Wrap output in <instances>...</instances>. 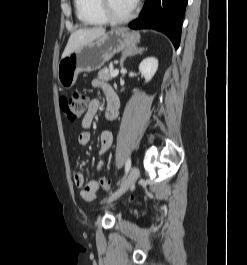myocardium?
I'll return each mask as SVG.
<instances>
[{
  "mask_svg": "<svg viewBox=\"0 0 247 265\" xmlns=\"http://www.w3.org/2000/svg\"><path fill=\"white\" fill-rule=\"evenodd\" d=\"M99 7L108 22L123 24L131 21L137 14L138 4L135 3L130 13L124 16L117 15L111 8L109 0H99Z\"/></svg>",
  "mask_w": 247,
  "mask_h": 265,
  "instance_id": "obj_1",
  "label": "myocardium"
}]
</instances>
